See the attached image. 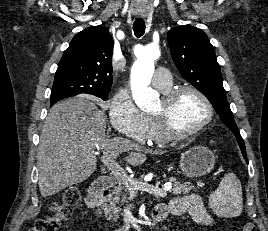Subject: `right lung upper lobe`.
<instances>
[{"label":"right lung upper lobe","mask_w":268,"mask_h":231,"mask_svg":"<svg viewBox=\"0 0 268 231\" xmlns=\"http://www.w3.org/2000/svg\"><path fill=\"white\" fill-rule=\"evenodd\" d=\"M113 45L104 26H91L76 34L59 62L53 84V88H63L66 94L52 99L51 105L80 93L109 94Z\"/></svg>","instance_id":"obj_1"}]
</instances>
